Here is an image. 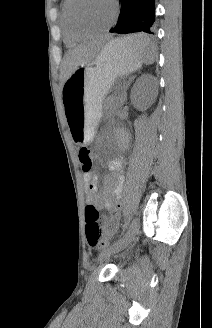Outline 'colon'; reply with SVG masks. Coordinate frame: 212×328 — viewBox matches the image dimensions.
I'll use <instances>...</instances> for the list:
<instances>
[{"label":"colon","instance_id":"obj_1","mask_svg":"<svg viewBox=\"0 0 212 328\" xmlns=\"http://www.w3.org/2000/svg\"><path fill=\"white\" fill-rule=\"evenodd\" d=\"M79 159L82 163L84 172H90L92 168V158L90 150L86 147H82L79 150ZM86 217V239L91 247H103L105 242L102 238V231L99 226L100 213L99 210L92 204L87 205L85 208Z\"/></svg>","mask_w":212,"mask_h":328}]
</instances>
